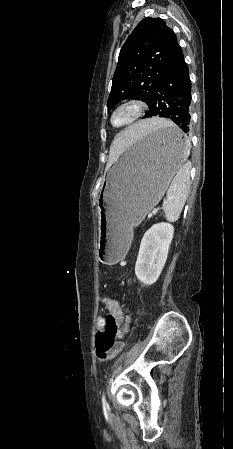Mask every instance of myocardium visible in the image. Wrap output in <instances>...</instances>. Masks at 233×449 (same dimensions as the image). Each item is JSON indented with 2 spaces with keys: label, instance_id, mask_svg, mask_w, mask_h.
Listing matches in <instances>:
<instances>
[{
  "label": "myocardium",
  "instance_id": "f54148a6",
  "mask_svg": "<svg viewBox=\"0 0 233 449\" xmlns=\"http://www.w3.org/2000/svg\"><path fill=\"white\" fill-rule=\"evenodd\" d=\"M129 111L128 118L122 123H115L114 118L121 111ZM145 104L140 100L130 99L116 105L110 113V124L114 128H123L136 122L144 113Z\"/></svg>",
  "mask_w": 233,
  "mask_h": 449
}]
</instances>
